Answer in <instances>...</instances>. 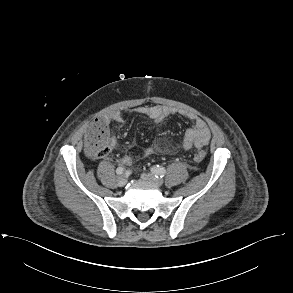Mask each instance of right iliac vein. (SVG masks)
Returning <instances> with one entry per match:
<instances>
[{"label":"right iliac vein","mask_w":293,"mask_h":293,"mask_svg":"<svg viewBox=\"0 0 293 293\" xmlns=\"http://www.w3.org/2000/svg\"><path fill=\"white\" fill-rule=\"evenodd\" d=\"M117 183H118V185L121 186V187H122V186H125L126 183H127V177L124 176V175L119 176L118 179H117Z\"/></svg>","instance_id":"1"}]
</instances>
